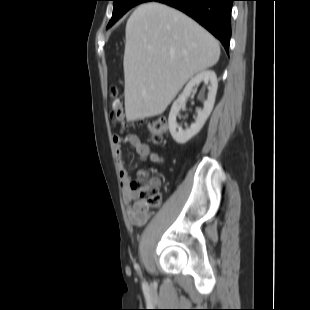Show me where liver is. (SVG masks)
Wrapping results in <instances>:
<instances>
[{"label":"liver","mask_w":310,"mask_h":310,"mask_svg":"<svg viewBox=\"0 0 310 310\" xmlns=\"http://www.w3.org/2000/svg\"><path fill=\"white\" fill-rule=\"evenodd\" d=\"M219 57L218 41L182 12L157 2L140 5L126 24V119L161 115L184 84Z\"/></svg>","instance_id":"obj_1"}]
</instances>
